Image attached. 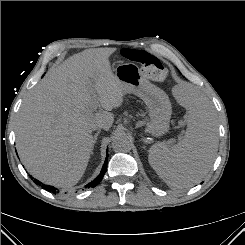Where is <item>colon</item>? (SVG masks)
I'll list each match as a JSON object with an SVG mask.
<instances>
[{"instance_id":"obj_1","label":"colon","mask_w":245,"mask_h":245,"mask_svg":"<svg viewBox=\"0 0 245 245\" xmlns=\"http://www.w3.org/2000/svg\"><path fill=\"white\" fill-rule=\"evenodd\" d=\"M123 56L130 61L141 64L146 77L156 81H163L167 78L168 70L156 56L135 49H125Z\"/></svg>"}]
</instances>
